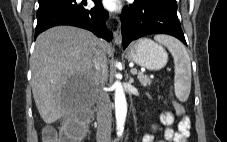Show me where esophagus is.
<instances>
[{"label": "esophagus", "mask_w": 227, "mask_h": 142, "mask_svg": "<svg viewBox=\"0 0 227 142\" xmlns=\"http://www.w3.org/2000/svg\"><path fill=\"white\" fill-rule=\"evenodd\" d=\"M113 18L118 21L117 16L114 15ZM113 36L115 44L120 46L122 44V35L119 27H117V29L113 32Z\"/></svg>", "instance_id": "34e87169"}]
</instances>
